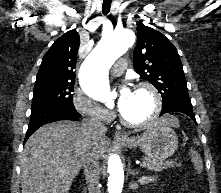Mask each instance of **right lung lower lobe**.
I'll return each mask as SVG.
<instances>
[{"mask_svg":"<svg viewBox=\"0 0 221 193\" xmlns=\"http://www.w3.org/2000/svg\"><path fill=\"white\" fill-rule=\"evenodd\" d=\"M80 117L81 115L75 110V108H65L59 106L43 108L38 111L31 112L30 122L24 143L31 134H33L40 126L44 124L59 120L77 121Z\"/></svg>","mask_w":221,"mask_h":193,"instance_id":"1","label":"right lung lower lobe"}]
</instances>
